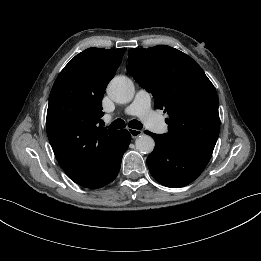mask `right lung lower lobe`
<instances>
[{
	"label": "right lung lower lobe",
	"mask_w": 261,
	"mask_h": 261,
	"mask_svg": "<svg viewBox=\"0 0 261 261\" xmlns=\"http://www.w3.org/2000/svg\"><path fill=\"white\" fill-rule=\"evenodd\" d=\"M130 139V133L127 130H122L103 165L92 176L77 184L86 188L97 189L112 182L120 170L121 160L129 146Z\"/></svg>",
	"instance_id": "98d812e1"
}]
</instances>
